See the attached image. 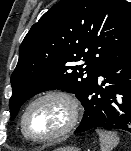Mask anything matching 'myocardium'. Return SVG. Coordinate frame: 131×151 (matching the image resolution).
I'll list each match as a JSON object with an SVG mask.
<instances>
[{
    "instance_id": "myocardium-1",
    "label": "myocardium",
    "mask_w": 131,
    "mask_h": 151,
    "mask_svg": "<svg viewBox=\"0 0 131 151\" xmlns=\"http://www.w3.org/2000/svg\"><path fill=\"white\" fill-rule=\"evenodd\" d=\"M48 99H56L65 104L68 111L67 122L60 130H58L52 135H49L47 137H42V138L33 137L28 133L26 129L27 115L33 106H35L39 102H42ZM79 117H80L79 103L77 99L71 93L62 89H50V90H47L38 94L26 105L22 113L21 121H20L21 132L27 140L34 143L53 142L64 137L69 132H71L74 129V127L77 125Z\"/></svg>"
}]
</instances>
